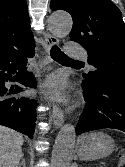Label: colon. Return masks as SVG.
Wrapping results in <instances>:
<instances>
[{
    "instance_id": "1",
    "label": "colon",
    "mask_w": 125,
    "mask_h": 167,
    "mask_svg": "<svg viewBox=\"0 0 125 167\" xmlns=\"http://www.w3.org/2000/svg\"><path fill=\"white\" fill-rule=\"evenodd\" d=\"M118 167H125V148L120 152V162Z\"/></svg>"
}]
</instances>
